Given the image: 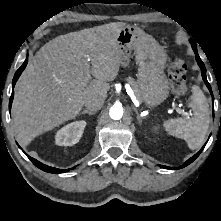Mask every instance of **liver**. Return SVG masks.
Segmentation results:
<instances>
[{
    "instance_id": "1",
    "label": "liver",
    "mask_w": 221,
    "mask_h": 221,
    "mask_svg": "<svg viewBox=\"0 0 221 221\" xmlns=\"http://www.w3.org/2000/svg\"><path fill=\"white\" fill-rule=\"evenodd\" d=\"M124 26L114 22L58 36L31 58L12 106L14 131L22 145L75 118L89 98L106 99L108 82L121 64L117 38ZM87 67L95 77L90 82Z\"/></svg>"
}]
</instances>
